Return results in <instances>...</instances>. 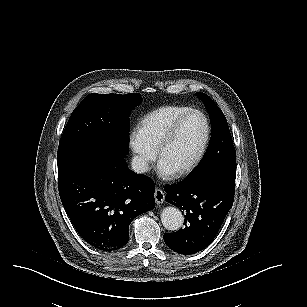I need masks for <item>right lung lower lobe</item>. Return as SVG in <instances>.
<instances>
[{
    "mask_svg": "<svg viewBox=\"0 0 307 307\" xmlns=\"http://www.w3.org/2000/svg\"><path fill=\"white\" fill-rule=\"evenodd\" d=\"M61 202L91 246L111 251L128 242V227L155 206L154 183L127 168L118 152L90 149L58 159Z\"/></svg>",
    "mask_w": 307,
    "mask_h": 307,
    "instance_id": "98d812e1",
    "label": "right lung lower lobe"
}]
</instances>
